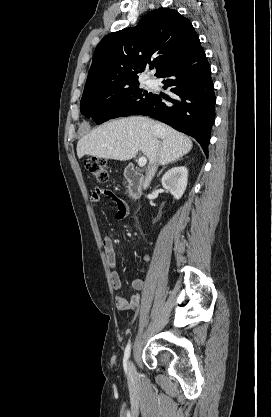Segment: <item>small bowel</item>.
<instances>
[{
    "mask_svg": "<svg viewBox=\"0 0 272 417\" xmlns=\"http://www.w3.org/2000/svg\"><path fill=\"white\" fill-rule=\"evenodd\" d=\"M102 196L109 197L116 203L117 209H116L115 216L117 219L122 220L126 218L128 211H129V206L126 204L125 201H123L121 198H119L115 193H113L110 190L103 189L100 187H95L91 194V202L93 204L99 203ZM103 248L105 251L108 265L112 269V272H111L112 286L114 290L118 291L121 289L122 284H121L120 276L118 272L115 270L116 252H115L113 241L107 236H105L103 239ZM146 259L148 260V258ZM131 285H132V288L136 290V293L132 295L129 299H126L125 297L121 295H117L115 297V304L119 310H130L139 306V304L141 303L142 291L145 286L144 279L143 278L133 279L131 282Z\"/></svg>",
    "mask_w": 272,
    "mask_h": 417,
    "instance_id": "c3829d8e",
    "label": "small bowel"
}]
</instances>
